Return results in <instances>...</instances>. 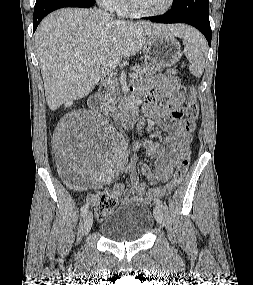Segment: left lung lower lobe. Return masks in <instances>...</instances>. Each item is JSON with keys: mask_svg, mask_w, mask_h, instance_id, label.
I'll return each mask as SVG.
<instances>
[{"mask_svg": "<svg viewBox=\"0 0 253 285\" xmlns=\"http://www.w3.org/2000/svg\"><path fill=\"white\" fill-rule=\"evenodd\" d=\"M158 23H187L196 27L211 44L208 0H175L172 10L160 16L143 18Z\"/></svg>", "mask_w": 253, "mask_h": 285, "instance_id": "obj_1", "label": "left lung lower lobe"}]
</instances>
